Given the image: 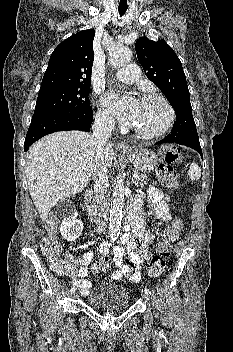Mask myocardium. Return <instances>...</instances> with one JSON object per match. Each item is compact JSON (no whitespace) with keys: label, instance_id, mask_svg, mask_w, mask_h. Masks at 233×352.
I'll list each match as a JSON object with an SVG mask.
<instances>
[{"label":"myocardium","instance_id":"myocardium-1","mask_svg":"<svg viewBox=\"0 0 233 352\" xmlns=\"http://www.w3.org/2000/svg\"><path fill=\"white\" fill-rule=\"evenodd\" d=\"M148 99L159 100L166 107V109L168 111V119H167L165 125L162 128H160L159 130L153 131V132L142 131V130L135 128L134 126L132 127V129L138 136H140L144 139H156V138L163 136L171 129V127L173 126V124L175 122L176 113H175V110H174V107L172 106V104L162 94L156 93V92H151V93H147V94L143 95L141 98V100H148Z\"/></svg>","mask_w":233,"mask_h":352}]
</instances>
